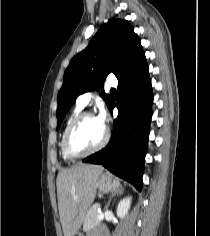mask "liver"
I'll return each mask as SVG.
<instances>
[{
  "label": "liver",
  "instance_id": "6515ba94",
  "mask_svg": "<svg viewBox=\"0 0 210 236\" xmlns=\"http://www.w3.org/2000/svg\"><path fill=\"white\" fill-rule=\"evenodd\" d=\"M99 165L79 163L58 173L56 186L60 222L64 236H75L95 199Z\"/></svg>",
  "mask_w": 210,
  "mask_h": 236
}]
</instances>
